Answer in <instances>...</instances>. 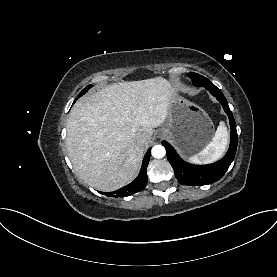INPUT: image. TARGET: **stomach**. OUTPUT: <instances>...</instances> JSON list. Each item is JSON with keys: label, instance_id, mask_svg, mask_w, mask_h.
I'll return each mask as SVG.
<instances>
[{"label": "stomach", "instance_id": "obj_1", "mask_svg": "<svg viewBox=\"0 0 277 277\" xmlns=\"http://www.w3.org/2000/svg\"><path fill=\"white\" fill-rule=\"evenodd\" d=\"M161 132L183 155L192 156L210 143L214 125L200 106L175 94L169 101L167 122Z\"/></svg>", "mask_w": 277, "mask_h": 277}]
</instances>
